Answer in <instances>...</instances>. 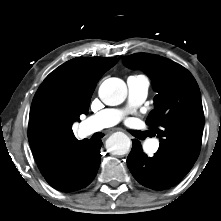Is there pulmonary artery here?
<instances>
[{"label":"pulmonary artery","instance_id":"e3ab8cb5","mask_svg":"<svg viewBox=\"0 0 221 221\" xmlns=\"http://www.w3.org/2000/svg\"><path fill=\"white\" fill-rule=\"evenodd\" d=\"M149 80L143 75H132L127 79L128 103L123 109L108 108L90 116L86 123L87 132H95L104 128L112 127L119 123L132 109L142 104L149 89ZM159 147L158 140H147L144 149L148 153H154Z\"/></svg>","mask_w":221,"mask_h":221}]
</instances>
